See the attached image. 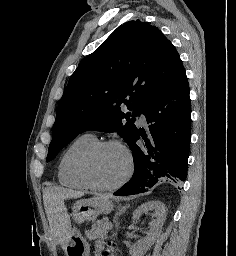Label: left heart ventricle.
Listing matches in <instances>:
<instances>
[{
	"label": "left heart ventricle",
	"instance_id": "1",
	"mask_svg": "<svg viewBox=\"0 0 236 256\" xmlns=\"http://www.w3.org/2000/svg\"><path fill=\"white\" fill-rule=\"evenodd\" d=\"M126 169L125 154L117 147H107L93 158L90 171L96 185L109 187L121 180Z\"/></svg>",
	"mask_w": 236,
	"mask_h": 256
}]
</instances>
